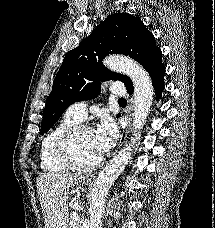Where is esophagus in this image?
<instances>
[{
	"instance_id": "1",
	"label": "esophagus",
	"mask_w": 215,
	"mask_h": 228,
	"mask_svg": "<svg viewBox=\"0 0 215 228\" xmlns=\"http://www.w3.org/2000/svg\"><path fill=\"white\" fill-rule=\"evenodd\" d=\"M132 113H133V103L132 101L130 100L129 103H128V107H127V117L129 118V123H128V126L126 127V129L122 132L121 134V137H120V141H119V144H118V147H117V150L118 148H120V146L124 143L129 131H130V128H131V119H132ZM116 150V151H117Z\"/></svg>"
}]
</instances>
